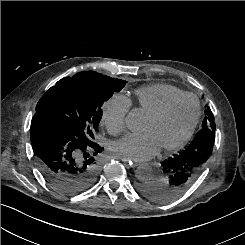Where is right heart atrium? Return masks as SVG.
<instances>
[{
  "instance_id": "1",
  "label": "right heart atrium",
  "mask_w": 245,
  "mask_h": 245,
  "mask_svg": "<svg viewBox=\"0 0 245 245\" xmlns=\"http://www.w3.org/2000/svg\"><path fill=\"white\" fill-rule=\"evenodd\" d=\"M131 101L120 94L111 96L102 107V121L111 134L117 135L125 130V119Z\"/></svg>"
}]
</instances>
